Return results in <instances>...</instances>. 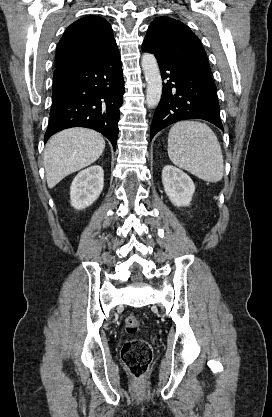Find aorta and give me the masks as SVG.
Wrapping results in <instances>:
<instances>
[{"mask_svg":"<svg viewBox=\"0 0 272 417\" xmlns=\"http://www.w3.org/2000/svg\"><path fill=\"white\" fill-rule=\"evenodd\" d=\"M142 68L147 82L146 103L149 108H154L161 99L162 79L157 60L153 54H143Z\"/></svg>","mask_w":272,"mask_h":417,"instance_id":"1","label":"aorta"}]
</instances>
